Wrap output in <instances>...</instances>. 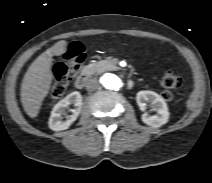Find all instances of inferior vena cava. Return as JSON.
I'll return each instance as SVG.
<instances>
[{"instance_id":"inferior-vena-cava-1","label":"inferior vena cava","mask_w":212,"mask_h":183,"mask_svg":"<svg viewBox=\"0 0 212 183\" xmlns=\"http://www.w3.org/2000/svg\"><path fill=\"white\" fill-rule=\"evenodd\" d=\"M100 87V84L96 78H91L87 81L86 89L88 91L97 90Z\"/></svg>"}]
</instances>
